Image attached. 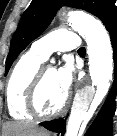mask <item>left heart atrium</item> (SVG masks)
Instances as JSON below:
<instances>
[{"label": "left heart atrium", "mask_w": 117, "mask_h": 136, "mask_svg": "<svg viewBox=\"0 0 117 136\" xmlns=\"http://www.w3.org/2000/svg\"><path fill=\"white\" fill-rule=\"evenodd\" d=\"M56 78L58 85L65 92L68 93L74 78V69L70 63H65L56 70Z\"/></svg>", "instance_id": "39dd6f15"}]
</instances>
